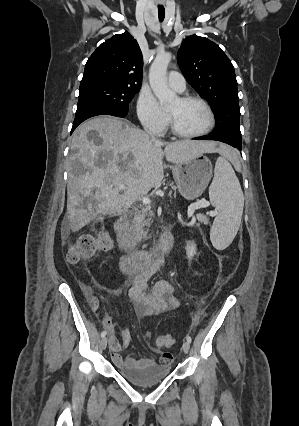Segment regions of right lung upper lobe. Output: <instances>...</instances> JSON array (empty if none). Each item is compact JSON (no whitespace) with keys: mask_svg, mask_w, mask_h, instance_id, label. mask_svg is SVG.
Instances as JSON below:
<instances>
[{"mask_svg":"<svg viewBox=\"0 0 299 426\" xmlns=\"http://www.w3.org/2000/svg\"><path fill=\"white\" fill-rule=\"evenodd\" d=\"M143 58L137 41L127 31L102 43L86 63L80 85L112 83L141 87Z\"/></svg>","mask_w":299,"mask_h":426,"instance_id":"right-lung-upper-lobe-1","label":"right lung upper lobe"}]
</instances>
